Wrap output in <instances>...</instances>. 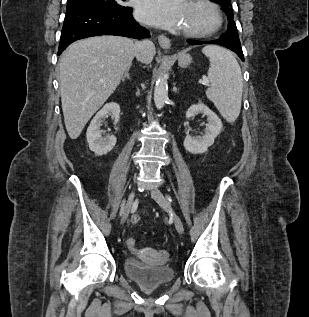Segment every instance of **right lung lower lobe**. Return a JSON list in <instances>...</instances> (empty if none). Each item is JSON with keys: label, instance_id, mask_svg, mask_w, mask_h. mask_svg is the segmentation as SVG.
Wrapping results in <instances>:
<instances>
[{"label": "right lung lower lobe", "instance_id": "right-lung-lower-lobe-1", "mask_svg": "<svg viewBox=\"0 0 309 317\" xmlns=\"http://www.w3.org/2000/svg\"><path fill=\"white\" fill-rule=\"evenodd\" d=\"M98 35L150 38L149 31L134 20L131 7L115 10L88 4L68 3L58 55L72 42Z\"/></svg>", "mask_w": 309, "mask_h": 317}]
</instances>
